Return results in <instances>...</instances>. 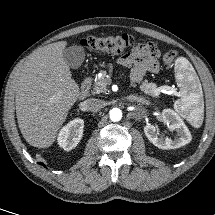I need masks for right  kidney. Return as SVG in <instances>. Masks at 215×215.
Listing matches in <instances>:
<instances>
[{
  "label": "right kidney",
  "mask_w": 215,
  "mask_h": 215,
  "mask_svg": "<svg viewBox=\"0 0 215 215\" xmlns=\"http://www.w3.org/2000/svg\"><path fill=\"white\" fill-rule=\"evenodd\" d=\"M84 121L77 118L64 126L58 135V144L69 151L77 146L83 136Z\"/></svg>",
  "instance_id": "right-kidney-1"
}]
</instances>
